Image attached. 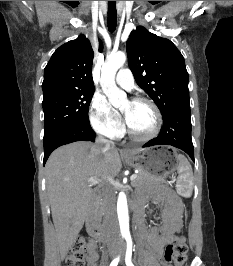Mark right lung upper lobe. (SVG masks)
Here are the masks:
<instances>
[{
	"label": "right lung upper lobe",
	"instance_id": "1",
	"mask_svg": "<svg viewBox=\"0 0 233 266\" xmlns=\"http://www.w3.org/2000/svg\"><path fill=\"white\" fill-rule=\"evenodd\" d=\"M103 48L99 42V51ZM94 52L89 40L80 35L60 46L44 69L43 95L56 92L94 89L92 63Z\"/></svg>",
	"mask_w": 233,
	"mask_h": 266
}]
</instances>
